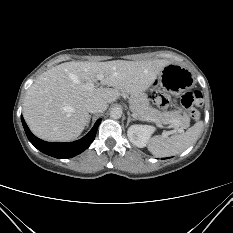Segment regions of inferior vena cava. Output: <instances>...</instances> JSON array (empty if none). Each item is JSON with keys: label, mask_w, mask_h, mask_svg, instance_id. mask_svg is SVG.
Wrapping results in <instances>:
<instances>
[{"label": "inferior vena cava", "mask_w": 233, "mask_h": 233, "mask_svg": "<svg viewBox=\"0 0 233 233\" xmlns=\"http://www.w3.org/2000/svg\"><path fill=\"white\" fill-rule=\"evenodd\" d=\"M85 107L89 113H102L107 109V103L100 99L90 98L86 101Z\"/></svg>", "instance_id": "inferior-vena-cava-1"}]
</instances>
